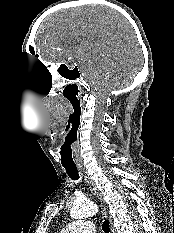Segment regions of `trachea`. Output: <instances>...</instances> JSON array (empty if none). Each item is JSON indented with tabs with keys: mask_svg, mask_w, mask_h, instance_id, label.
I'll return each instance as SVG.
<instances>
[{
	"mask_svg": "<svg viewBox=\"0 0 174 233\" xmlns=\"http://www.w3.org/2000/svg\"><path fill=\"white\" fill-rule=\"evenodd\" d=\"M68 176L72 180H78L79 179V173L76 167H64ZM102 229L105 233H110V226H109V220H105L102 224Z\"/></svg>",
	"mask_w": 174,
	"mask_h": 233,
	"instance_id": "obj_1",
	"label": "trachea"
}]
</instances>
